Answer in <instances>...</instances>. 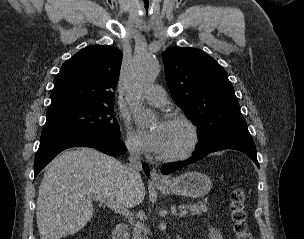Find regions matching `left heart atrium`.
Masks as SVG:
<instances>
[{"label": "left heart atrium", "mask_w": 304, "mask_h": 239, "mask_svg": "<svg viewBox=\"0 0 304 239\" xmlns=\"http://www.w3.org/2000/svg\"><path fill=\"white\" fill-rule=\"evenodd\" d=\"M167 123H161L152 130H140V140L142 145L149 151L160 153L163 147L167 132Z\"/></svg>", "instance_id": "39dd6f15"}]
</instances>
